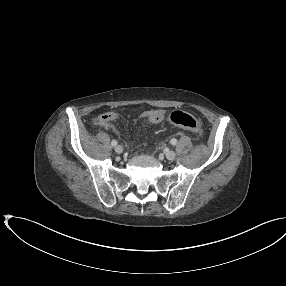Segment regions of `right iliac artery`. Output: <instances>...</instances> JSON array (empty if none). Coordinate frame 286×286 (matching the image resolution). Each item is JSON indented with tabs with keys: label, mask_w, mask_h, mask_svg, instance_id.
<instances>
[{
	"label": "right iliac artery",
	"mask_w": 286,
	"mask_h": 286,
	"mask_svg": "<svg viewBox=\"0 0 286 286\" xmlns=\"http://www.w3.org/2000/svg\"><path fill=\"white\" fill-rule=\"evenodd\" d=\"M111 144H112V146L115 147L117 145V141L116 140H112Z\"/></svg>",
	"instance_id": "right-iliac-artery-1"
}]
</instances>
